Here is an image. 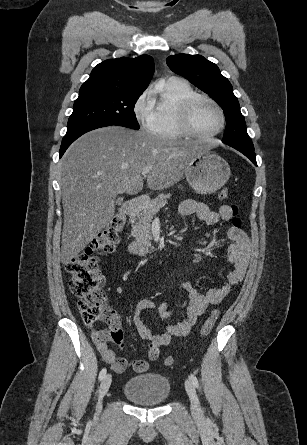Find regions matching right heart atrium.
<instances>
[{"mask_svg": "<svg viewBox=\"0 0 307 445\" xmlns=\"http://www.w3.org/2000/svg\"><path fill=\"white\" fill-rule=\"evenodd\" d=\"M154 91L152 89L145 90L134 107V115L138 124L143 128L152 127L154 122V113L150 108Z\"/></svg>", "mask_w": 307, "mask_h": 445, "instance_id": "obj_1", "label": "right heart atrium"}]
</instances>
